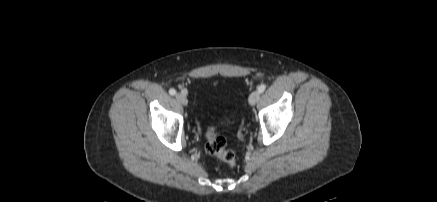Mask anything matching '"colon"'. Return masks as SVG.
I'll return each mask as SVG.
<instances>
[{"mask_svg":"<svg viewBox=\"0 0 437 202\" xmlns=\"http://www.w3.org/2000/svg\"><path fill=\"white\" fill-rule=\"evenodd\" d=\"M205 150L208 154L216 156L229 167L237 164L236 155L232 150L226 148V141L216 133L214 126H209L205 132Z\"/></svg>","mask_w":437,"mask_h":202,"instance_id":"colon-1","label":"colon"}]
</instances>
